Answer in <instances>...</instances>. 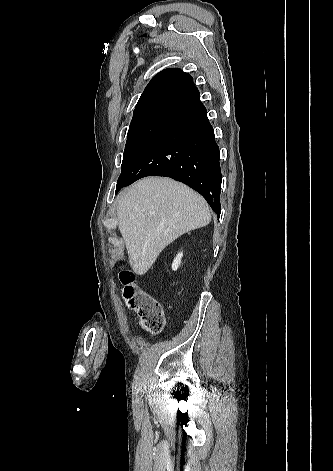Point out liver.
<instances>
[{
	"mask_svg": "<svg viewBox=\"0 0 333 471\" xmlns=\"http://www.w3.org/2000/svg\"><path fill=\"white\" fill-rule=\"evenodd\" d=\"M210 220L204 198L170 178L142 179L117 198L118 228L130 265L139 275L145 274L175 239L207 226Z\"/></svg>",
	"mask_w": 333,
	"mask_h": 471,
	"instance_id": "6515ba94",
	"label": "liver"
}]
</instances>
